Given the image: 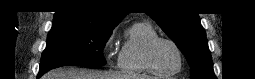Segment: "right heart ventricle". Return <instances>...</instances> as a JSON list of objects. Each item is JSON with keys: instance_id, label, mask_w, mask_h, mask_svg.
<instances>
[{"instance_id": "e07e8e85", "label": "right heart ventricle", "mask_w": 255, "mask_h": 79, "mask_svg": "<svg viewBox=\"0 0 255 79\" xmlns=\"http://www.w3.org/2000/svg\"><path fill=\"white\" fill-rule=\"evenodd\" d=\"M156 36V30L149 23L137 22L129 28L118 58L121 72L132 75L153 74L145 64L144 50Z\"/></svg>"}]
</instances>
